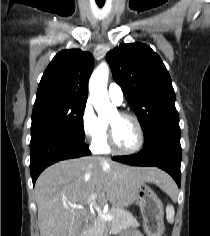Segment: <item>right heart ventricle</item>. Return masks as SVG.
Instances as JSON below:
<instances>
[{"instance_id":"obj_1","label":"right heart ventricle","mask_w":210,"mask_h":236,"mask_svg":"<svg viewBox=\"0 0 210 236\" xmlns=\"http://www.w3.org/2000/svg\"><path fill=\"white\" fill-rule=\"evenodd\" d=\"M92 149L95 153H98V154L110 153L111 149L108 145V129L107 128H106L105 133L97 141H95L92 144Z\"/></svg>"}]
</instances>
